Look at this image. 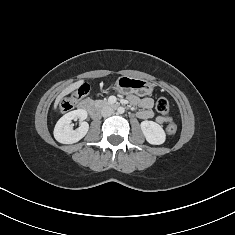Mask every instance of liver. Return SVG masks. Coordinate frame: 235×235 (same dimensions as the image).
Masks as SVG:
<instances>
[{"label":"liver","instance_id":"obj_1","mask_svg":"<svg viewBox=\"0 0 235 235\" xmlns=\"http://www.w3.org/2000/svg\"><path fill=\"white\" fill-rule=\"evenodd\" d=\"M83 81H77L73 84H71L70 86H68L67 88H65L56 98L55 103H54V109L57 108L59 102L63 99L64 96L70 94L72 91L78 89L81 85H82Z\"/></svg>","mask_w":235,"mask_h":235}]
</instances>
